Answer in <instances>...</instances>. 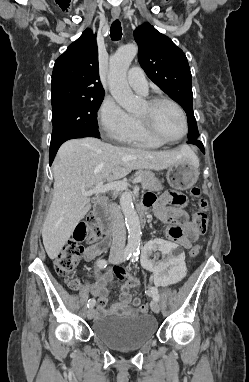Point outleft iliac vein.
Wrapping results in <instances>:
<instances>
[{
  "label": "left iliac vein",
  "instance_id": "obj_1",
  "mask_svg": "<svg viewBox=\"0 0 249 382\" xmlns=\"http://www.w3.org/2000/svg\"><path fill=\"white\" fill-rule=\"evenodd\" d=\"M150 306H151V309H152L153 312H155V313H159L160 312V306H159L158 302L153 300L151 302Z\"/></svg>",
  "mask_w": 249,
  "mask_h": 382
}]
</instances>
